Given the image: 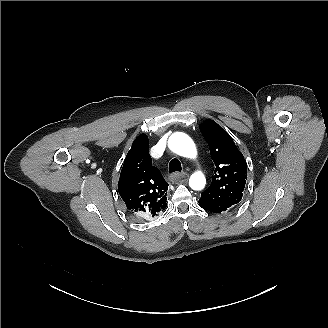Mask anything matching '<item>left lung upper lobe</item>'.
I'll return each instance as SVG.
<instances>
[{
  "label": "left lung upper lobe",
  "instance_id": "5c2ea615",
  "mask_svg": "<svg viewBox=\"0 0 328 328\" xmlns=\"http://www.w3.org/2000/svg\"><path fill=\"white\" fill-rule=\"evenodd\" d=\"M200 129L216 168L211 185L201 194L199 205L205 210L221 213L242 199L247 163L230 135L215 121H205Z\"/></svg>",
  "mask_w": 328,
  "mask_h": 328
}]
</instances>
